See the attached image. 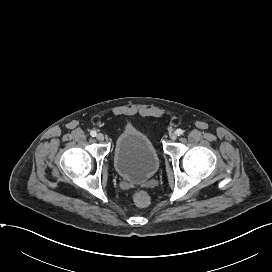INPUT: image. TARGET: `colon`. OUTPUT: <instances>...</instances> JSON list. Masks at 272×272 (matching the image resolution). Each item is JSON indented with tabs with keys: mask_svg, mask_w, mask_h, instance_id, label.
<instances>
[{
	"mask_svg": "<svg viewBox=\"0 0 272 272\" xmlns=\"http://www.w3.org/2000/svg\"><path fill=\"white\" fill-rule=\"evenodd\" d=\"M133 201L139 207H146L150 203V198L146 192L138 191L134 194Z\"/></svg>",
	"mask_w": 272,
	"mask_h": 272,
	"instance_id": "5ec220e1",
	"label": "colon"
}]
</instances>
